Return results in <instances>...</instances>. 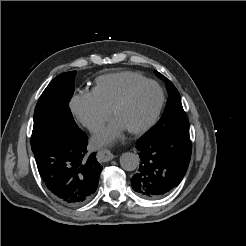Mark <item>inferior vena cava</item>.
Listing matches in <instances>:
<instances>
[{
	"mask_svg": "<svg viewBox=\"0 0 246 246\" xmlns=\"http://www.w3.org/2000/svg\"><path fill=\"white\" fill-rule=\"evenodd\" d=\"M99 127H101V124H100V123H92V124L90 125V128H91V129H96V128H99Z\"/></svg>",
	"mask_w": 246,
	"mask_h": 246,
	"instance_id": "1",
	"label": "inferior vena cava"
}]
</instances>
